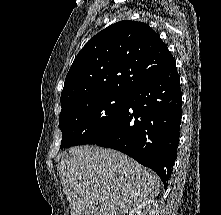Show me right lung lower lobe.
I'll use <instances>...</instances> for the list:
<instances>
[{"instance_id": "right-lung-lower-lobe-1", "label": "right lung lower lobe", "mask_w": 221, "mask_h": 215, "mask_svg": "<svg viewBox=\"0 0 221 215\" xmlns=\"http://www.w3.org/2000/svg\"><path fill=\"white\" fill-rule=\"evenodd\" d=\"M181 121L180 79L173 60L127 94L125 108L104 135L90 144L119 150L168 184Z\"/></svg>"}]
</instances>
